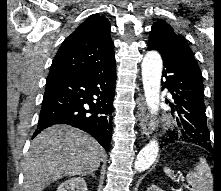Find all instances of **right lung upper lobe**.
I'll return each instance as SVG.
<instances>
[{
  "label": "right lung upper lobe",
  "instance_id": "right-lung-upper-lobe-1",
  "mask_svg": "<svg viewBox=\"0 0 221 191\" xmlns=\"http://www.w3.org/2000/svg\"><path fill=\"white\" fill-rule=\"evenodd\" d=\"M115 65L114 44L107 18L92 15L65 39L47 80L95 72Z\"/></svg>",
  "mask_w": 221,
  "mask_h": 191
}]
</instances>
